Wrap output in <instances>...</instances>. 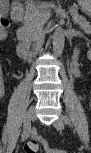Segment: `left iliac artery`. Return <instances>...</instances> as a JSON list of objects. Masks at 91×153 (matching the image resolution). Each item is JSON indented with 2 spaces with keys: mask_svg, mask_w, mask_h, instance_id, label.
<instances>
[{
  "mask_svg": "<svg viewBox=\"0 0 91 153\" xmlns=\"http://www.w3.org/2000/svg\"><path fill=\"white\" fill-rule=\"evenodd\" d=\"M62 119L64 121L65 124H70V119L67 116H62ZM80 153H83V151H80Z\"/></svg>",
  "mask_w": 91,
  "mask_h": 153,
  "instance_id": "obj_1",
  "label": "left iliac artery"
}]
</instances>
